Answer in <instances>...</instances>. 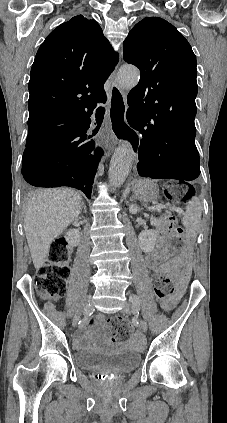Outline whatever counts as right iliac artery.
Returning a JSON list of instances; mask_svg holds the SVG:
<instances>
[{
    "mask_svg": "<svg viewBox=\"0 0 227 423\" xmlns=\"http://www.w3.org/2000/svg\"><path fill=\"white\" fill-rule=\"evenodd\" d=\"M91 313H92L91 310L88 308L84 310L82 315L83 317L78 322L79 327H83L85 324L88 323V321L90 320Z\"/></svg>",
    "mask_w": 227,
    "mask_h": 423,
    "instance_id": "right-iliac-artery-1",
    "label": "right iliac artery"
}]
</instances>
